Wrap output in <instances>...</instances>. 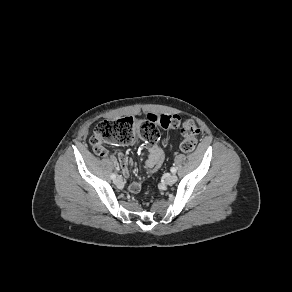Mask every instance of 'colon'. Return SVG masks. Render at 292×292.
<instances>
[{"label":"colon","instance_id":"colon-1","mask_svg":"<svg viewBox=\"0 0 292 292\" xmlns=\"http://www.w3.org/2000/svg\"><path fill=\"white\" fill-rule=\"evenodd\" d=\"M159 127L179 128L183 136L180 145L181 151L189 153L195 150L196 136L199 130L194 120L179 116H157L155 114H148L140 120L131 117L104 120L95 127L90 143L97 154L103 152L104 143L124 145L132 142L137 136L155 143L160 136Z\"/></svg>","mask_w":292,"mask_h":292}]
</instances>
